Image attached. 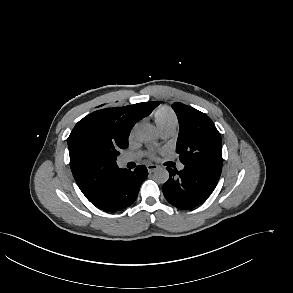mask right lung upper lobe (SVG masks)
I'll list each match as a JSON object with an SVG mask.
<instances>
[{"label":"right lung upper lobe","mask_w":293,"mask_h":293,"mask_svg":"<svg viewBox=\"0 0 293 293\" xmlns=\"http://www.w3.org/2000/svg\"><path fill=\"white\" fill-rule=\"evenodd\" d=\"M159 102H144L95 111L73 128L67 139L70 166L77 185L91 201L121 169L116 158L128 146L132 127Z\"/></svg>","instance_id":"right-lung-upper-lobe-1"}]
</instances>
